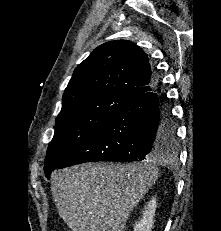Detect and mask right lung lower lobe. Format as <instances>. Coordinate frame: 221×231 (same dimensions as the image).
Masks as SVG:
<instances>
[{"mask_svg": "<svg viewBox=\"0 0 221 231\" xmlns=\"http://www.w3.org/2000/svg\"><path fill=\"white\" fill-rule=\"evenodd\" d=\"M160 85L156 74L154 89L133 98L117 110L56 168L93 161L150 160L171 149L175 127ZM50 173H46L47 178Z\"/></svg>", "mask_w": 221, "mask_h": 231, "instance_id": "obj_1", "label": "right lung lower lobe"}]
</instances>
